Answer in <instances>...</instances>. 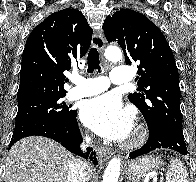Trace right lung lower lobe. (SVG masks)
<instances>
[{
  "label": "right lung lower lobe",
  "mask_w": 196,
  "mask_h": 182,
  "mask_svg": "<svg viewBox=\"0 0 196 182\" xmlns=\"http://www.w3.org/2000/svg\"><path fill=\"white\" fill-rule=\"evenodd\" d=\"M34 135L51 138L59 142L67 150L86 159L88 158V153L93 150L88 148L86 154L81 152L79 144L82 142V136L76 116L70 121L44 118L15 125L9 148L18 140ZM95 154V151L91 152L90 160L96 165L98 161Z\"/></svg>",
  "instance_id": "right-lung-lower-lobe-1"
}]
</instances>
